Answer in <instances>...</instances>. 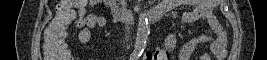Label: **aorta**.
I'll return each mask as SVG.
<instances>
[{
    "label": "aorta",
    "instance_id": "762f6f07",
    "mask_svg": "<svg viewBox=\"0 0 267 60\" xmlns=\"http://www.w3.org/2000/svg\"><path fill=\"white\" fill-rule=\"evenodd\" d=\"M148 32H149V26H148L147 16L144 13H140L137 36H136V44L134 49L136 53H140L144 50L148 39Z\"/></svg>",
    "mask_w": 267,
    "mask_h": 60
}]
</instances>
